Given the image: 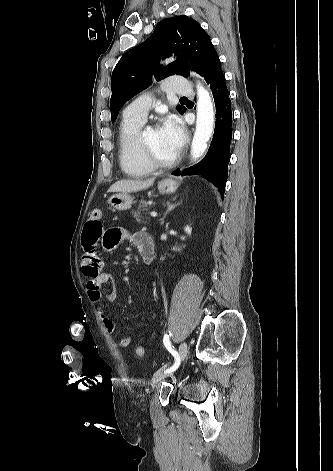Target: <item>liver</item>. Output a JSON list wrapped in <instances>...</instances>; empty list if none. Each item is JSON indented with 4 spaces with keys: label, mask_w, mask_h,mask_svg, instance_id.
<instances>
[{
    "label": "liver",
    "mask_w": 333,
    "mask_h": 471,
    "mask_svg": "<svg viewBox=\"0 0 333 471\" xmlns=\"http://www.w3.org/2000/svg\"><path fill=\"white\" fill-rule=\"evenodd\" d=\"M154 183V178L148 179L146 181H139V180H120L114 183L109 192H122V193H130V192H137L143 189H146L152 186Z\"/></svg>",
    "instance_id": "6515ba94"
}]
</instances>
